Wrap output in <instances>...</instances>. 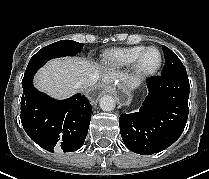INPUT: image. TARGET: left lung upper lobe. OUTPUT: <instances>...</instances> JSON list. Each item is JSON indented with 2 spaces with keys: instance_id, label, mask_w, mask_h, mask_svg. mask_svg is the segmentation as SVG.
<instances>
[{
  "instance_id": "left-lung-upper-lobe-1",
  "label": "left lung upper lobe",
  "mask_w": 209,
  "mask_h": 179,
  "mask_svg": "<svg viewBox=\"0 0 209 179\" xmlns=\"http://www.w3.org/2000/svg\"><path fill=\"white\" fill-rule=\"evenodd\" d=\"M165 56V66L162 75H170L176 72L186 71L180 59L166 46H162Z\"/></svg>"
}]
</instances>
